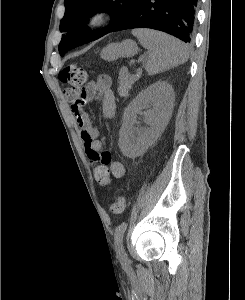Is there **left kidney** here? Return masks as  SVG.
<instances>
[{
  "label": "left kidney",
  "instance_id": "obj_1",
  "mask_svg": "<svg viewBox=\"0 0 245 300\" xmlns=\"http://www.w3.org/2000/svg\"><path fill=\"white\" fill-rule=\"evenodd\" d=\"M172 104L173 90L165 82L158 81L137 95L123 114L119 146L124 155L139 156L157 139L171 114ZM139 113L145 115L149 127H134Z\"/></svg>",
  "mask_w": 245,
  "mask_h": 300
}]
</instances>
